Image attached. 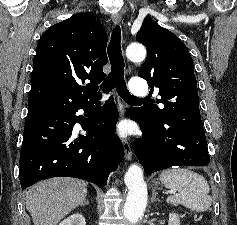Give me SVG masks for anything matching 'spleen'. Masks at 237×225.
<instances>
[{
  "label": "spleen",
  "mask_w": 237,
  "mask_h": 225,
  "mask_svg": "<svg viewBox=\"0 0 237 225\" xmlns=\"http://www.w3.org/2000/svg\"><path fill=\"white\" fill-rule=\"evenodd\" d=\"M160 180L167 188L177 192L167 198V203L181 204L196 212H204L210 208L212 198L208 195L209 185L200 174L187 168L173 167L163 171Z\"/></svg>",
  "instance_id": "3e777b00"
}]
</instances>
